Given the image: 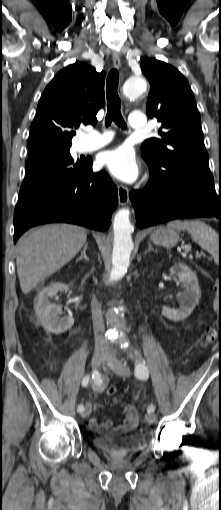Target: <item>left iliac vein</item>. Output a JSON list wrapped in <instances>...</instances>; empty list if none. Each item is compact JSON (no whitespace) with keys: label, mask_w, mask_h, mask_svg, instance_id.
I'll list each match as a JSON object with an SVG mask.
<instances>
[{"label":"left iliac vein","mask_w":221,"mask_h":510,"mask_svg":"<svg viewBox=\"0 0 221 510\" xmlns=\"http://www.w3.org/2000/svg\"><path fill=\"white\" fill-rule=\"evenodd\" d=\"M107 360L112 361L111 369L119 376L128 377L130 375V368L122 364L114 354H109ZM147 423L152 424L156 421V415L153 412L145 414Z\"/></svg>","instance_id":"obj_1"}]
</instances>
